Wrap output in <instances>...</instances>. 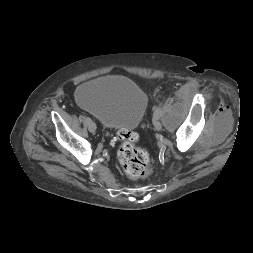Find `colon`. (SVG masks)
<instances>
[{"mask_svg": "<svg viewBox=\"0 0 253 253\" xmlns=\"http://www.w3.org/2000/svg\"><path fill=\"white\" fill-rule=\"evenodd\" d=\"M117 138L121 142L118 149V161L126 175L134 180L150 176V158L148 153L138 146L137 134L119 131Z\"/></svg>", "mask_w": 253, "mask_h": 253, "instance_id": "1", "label": "colon"}]
</instances>
